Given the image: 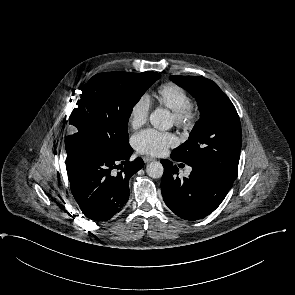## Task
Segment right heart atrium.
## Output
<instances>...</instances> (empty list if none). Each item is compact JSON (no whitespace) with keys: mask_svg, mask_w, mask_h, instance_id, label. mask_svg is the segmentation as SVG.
I'll return each instance as SVG.
<instances>
[{"mask_svg":"<svg viewBox=\"0 0 295 295\" xmlns=\"http://www.w3.org/2000/svg\"><path fill=\"white\" fill-rule=\"evenodd\" d=\"M151 102L148 95L139 96L131 105L128 114V123L133 129L142 127L148 119Z\"/></svg>","mask_w":295,"mask_h":295,"instance_id":"obj_1","label":"right heart atrium"}]
</instances>
